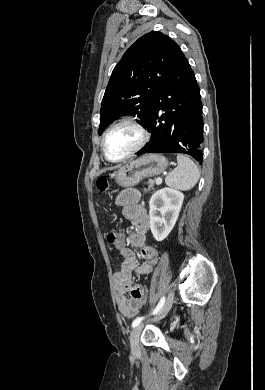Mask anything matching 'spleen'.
Instances as JSON below:
<instances>
[{
  "mask_svg": "<svg viewBox=\"0 0 265 390\" xmlns=\"http://www.w3.org/2000/svg\"><path fill=\"white\" fill-rule=\"evenodd\" d=\"M178 166L165 178L167 186L180 190H190L199 180L197 165L187 156H177Z\"/></svg>",
  "mask_w": 265,
  "mask_h": 390,
  "instance_id": "obj_1",
  "label": "spleen"
}]
</instances>
